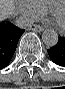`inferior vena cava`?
<instances>
[{
	"instance_id": "1",
	"label": "inferior vena cava",
	"mask_w": 65,
	"mask_h": 89,
	"mask_svg": "<svg viewBox=\"0 0 65 89\" xmlns=\"http://www.w3.org/2000/svg\"><path fill=\"white\" fill-rule=\"evenodd\" d=\"M31 25H32V21L27 17L20 16L16 20V26L20 28H29Z\"/></svg>"
}]
</instances>
